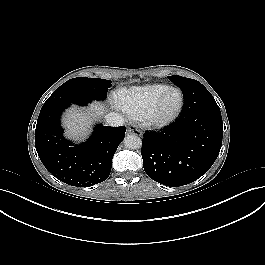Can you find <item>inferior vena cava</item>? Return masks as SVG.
Instances as JSON below:
<instances>
[{
	"instance_id": "1",
	"label": "inferior vena cava",
	"mask_w": 265,
	"mask_h": 265,
	"mask_svg": "<svg viewBox=\"0 0 265 265\" xmlns=\"http://www.w3.org/2000/svg\"><path fill=\"white\" fill-rule=\"evenodd\" d=\"M105 122L108 126L118 127L124 124L125 119L120 114L113 112L105 116Z\"/></svg>"
}]
</instances>
